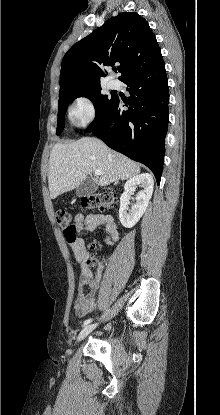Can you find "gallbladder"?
Returning <instances> with one entry per match:
<instances>
[{"label": "gallbladder", "instance_id": "obj_1", "mask_svg": "<svg viewBox=\"0 0 220 415\" xmlns=\"http://www.w3.org/2000/svg\"><path fill=\"white\" fill-rule=\"evenodd\" d=\"M97 184L90 178H86L76 189L78 197H86L93 194L97 190Z\"/></svg>", "mask_w": 220, "mask_h": 415}]
</instances>
